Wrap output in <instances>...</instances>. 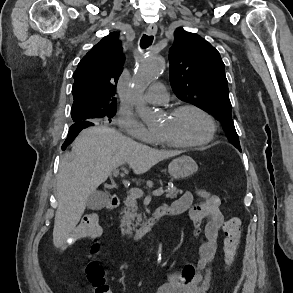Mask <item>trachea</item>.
<instances>
[{"label": "trachea", "instance_id": "obj_1", "mask_svg": "<svg viewBox=\"0 0 293 293\" xmlns=\"http://www.w3.org/2000/svg\"><path fill=\"white\" fill-rule=\"evenodd\" d=\"M153 42V36L143 35L140 40V46L143 49L148 48Z\"/></svg>", "mask_w": 293, "mask_h": 293}]
</instances>
